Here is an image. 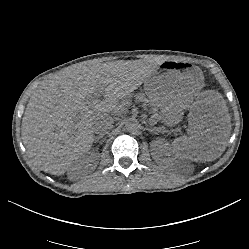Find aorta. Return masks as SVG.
<instances>
[{
	"label": "aorta",
	"instance_id": "aorta-1",
	"mask_svg": "<svg viewBox=\"0 0 249 249\" xmlns=\"http://www.w3.org/2000/svg\"><path fill=\"white\" fill-rule=\"evenodd\" d=\"M125 128L128 132H136L140 128V123L136 118H129L125 122Z\"/></svg>",
	"mask_w": 249,
	"mask_h": 249
}]
</instances>
